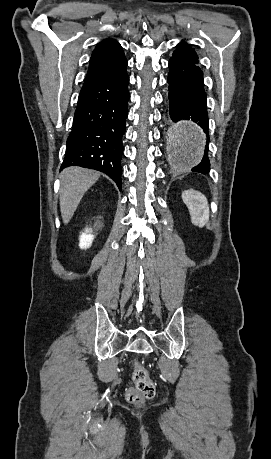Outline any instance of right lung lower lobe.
<instances>
[{"label":"right lung lower lobe","mask_w":271,"mask_h":459,"mask_svg":"<svg viewBox=\"0 0 271 459\" xmlns=\"http://www.w3.org/2000/svg\"><path fill=\"white\" fill-rule=\"evenodd\" d=\"M128 83L125 71L81 89L61 170L81 166L101 171L121 190Z\"/></svg>","instance_id":"right-lung-lower-lobe-1"}]
</instances>
